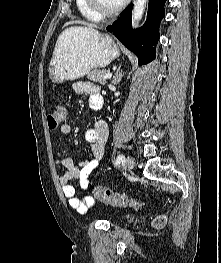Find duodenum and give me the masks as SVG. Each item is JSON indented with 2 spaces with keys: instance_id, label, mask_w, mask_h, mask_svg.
I'll return each mask as SVG.
<instances>
[{
  "instance_id": "410a0bca",
  "label": "duodenum",
  "mask_w": 221,
  "mask_h": 263,
  "mask_svg": "<svg viewBox=\"0 0 221 263\" xmlns=\"http://www.w3.org/2000/svg\"><path fill=\"white\" fill-rule=\"evenodd\" d=\"M101 107H102V102H99V103H97V104L94 106V109H95V110H99Z\"/></svg>"
}]
</instances>
